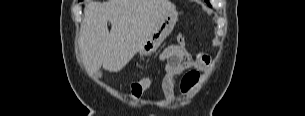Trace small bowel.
<instances>
[{
	"label": "small bowel",
	"instance_id": "1",
	"mask_svg": "<svg viewBox=\"0 0 305 116\" xmlns=\"http://www.w3.org/2000/svg\"><path fill=\"white\" fill-rule=\"evenodd\" d=\"M161 60L166 62L162 89L166 100L169 102H173L176 98L175 77L186 70L196 73L194 78H186L184 76L181 80L180 91L182 94H188L199 81L198 71L206 69L210 61L208 55L203 53L192 56L188 52L186 44L180 43L167 47L161 55Z\"/></svg>",
	"mask_w": 305,
	"mask_h": 116
}]
</instances>
